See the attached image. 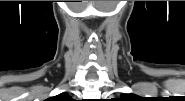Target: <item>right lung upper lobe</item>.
<instances>
[{
  "instance_id": "right-lung-upper-lobe-1",
  "label": "right lung upper lobe",
  "mask_w": 185,
  "mask_h": 101,
  "mask_svg": "<svg viewBox=\"0 0 185 101\" xmlns=\"http://www.w3.org/2000/svg\"><path fill=\"white\" fill-rule=\"evenodd\" d=\"M53 101H71V97L65 93H61L51 98Z\"/></svg>"
}]
</instances>
